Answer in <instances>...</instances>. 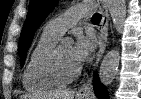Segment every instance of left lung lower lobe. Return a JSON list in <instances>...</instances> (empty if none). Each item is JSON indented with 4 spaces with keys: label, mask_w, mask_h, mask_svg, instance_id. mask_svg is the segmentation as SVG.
I'll use <instances>...</instances> for the list:
<instances>
[{
    "label": "left lung lower lobe",
    "mask_w": 141,
    "mask_h": 99,
    "mask_svg": "<svg viewBox=\"0 0 141 99\" xmlns=\"http://www.w3.org/2000/svg\"><path fill=\"white\" fill-rule=\"evenodd\" d=\"M93 82L96 96L100 99H108L107 92L104 86L100 83L97 74H95Z\"/></svg>",
    "instance_id": "left-lung-lower-lobe-1"
}]
</instances>
